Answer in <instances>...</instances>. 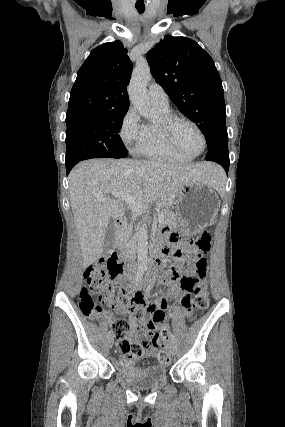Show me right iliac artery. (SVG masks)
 I'll return each mask as SVG.
<instances>
[{
    "mask_svg": "<svg viewBox=\"0 0 285 427\" xmlns=\"http://www.w3.org/2000/svg\"><path fill=\"white\" fill-rule=\"evenodd\" d=\"M110 336H111V331H109L107 334V337H110Z\"/></svg>",
    "mask_w": 285,
    "mask_h": 427,
    "instance_id": "obj_1",
    "label": "right iliac artery"
}]
</instances>
